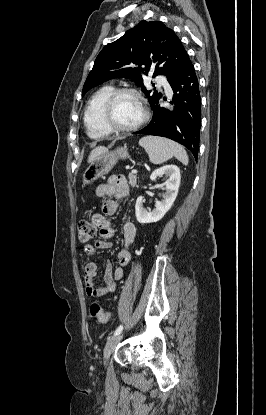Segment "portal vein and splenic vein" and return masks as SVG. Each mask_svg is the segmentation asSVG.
<instances>
[{"label":"portal vein and splenic vein","instance_id":"obj_1","mask_svg":"<svg viewBox=\"0 0 266 415\" xmlns=\"http://www.w3.org/2000/svg\"><path fill=\"white\" fill-rule=\"evenodd\" d=\"M137 173V170L136 169H133L132 171H131V174H136Z\"/></svg>","mask_w":266,"mask_h":415}]
</instances>
